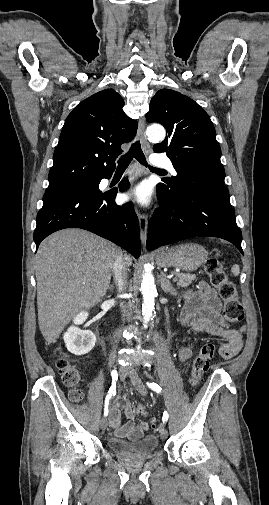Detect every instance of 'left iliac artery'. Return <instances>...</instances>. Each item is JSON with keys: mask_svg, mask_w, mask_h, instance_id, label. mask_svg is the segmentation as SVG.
<instances>
[{"mask_svg": "<svg viewBox=\"0 0 269 505\" xmlns=\"http://www.w3.org/2000/svg\"><path fill=\"white\" fill-rule=\"evenodd\" d=\"M147 385H148V387H149L150 389H152L153 391H155V392H157V393H161V391H162L161 387H160L158 384H156V383H152V382H151V383H147ZM168 418H169V414H168V412H167V411H164V413H163V417H162V421H163V423H166V422H167V420H168Z\"/></svg>", "mask_w": 269, "mask_h": 505, "instance_id": "1", "label": "left iliac artery"}]
</instances>
